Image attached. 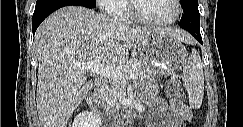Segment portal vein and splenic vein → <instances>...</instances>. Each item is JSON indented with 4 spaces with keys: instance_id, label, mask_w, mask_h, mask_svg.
<instances>
[{
    "instance_id": "portal-vein-and-splenic-vein-1",
    "label": "portal vein and splenic vein",
    "mask_w": 243,
    "mask_h": 127,
    "mask_svg": "<svg viewBox=\"0 0 243 127\" xmlns=\"http://www.w3.org/2000/svg\"><path fill=\"white\" fill-rule=\"evenodd\" d=\"M80 68L85 70L86 72L91 71L94 72L100 76L112 79V80H122L125 77V72L121 68H110L103 64H101L99 61H91L87 63H83L79 65ZM137 70L131 69L128 71V75L131 79H134L137 76Z\"/></svg>"
}]
</instances>
